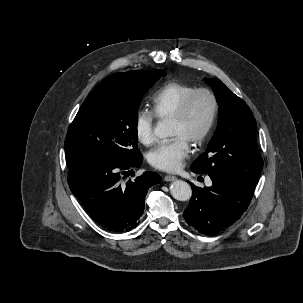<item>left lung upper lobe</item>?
Returning <instances> with one entry per match:
<instances>
[{"instance_id":"obj_1","label":"left lung upper lobe","mask_w":303,"mask_h":303,"mask_svg":"<svg viewBox=\"0 0 303 303\" xmlns=\"http://www.w3.org/2000/svg\"><path fill=\"white\" fill-rule=\"evenodd\" d=\"M219 105L218 125L205 153L191 166L194 173H221L253 189L263 167L257 148L255 118L246 103L220 80L204 78Z\"/></svg>"}]
</instances>
